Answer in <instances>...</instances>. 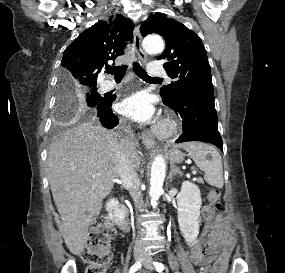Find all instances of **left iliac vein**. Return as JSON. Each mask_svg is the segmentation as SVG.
<instances>
[{
  "instance_id": "left-iliac-vein-1",
  "label": "left iliac vein",
  "mask_w": 285,
  "mask_h": 273,
  "mask_svg": "<svg viewBox=\"0 0 285 273\" xmlns=\"http://www.w3.org/2000/svg\"><path fill=\"white\" fill-rule=\"evenodd\" d=\"M144 267H145L146 269H149V270H152V269H153V266H152V259H151V257H150L148 254L145 256Z\"/></svg>"
}]
</instances>
